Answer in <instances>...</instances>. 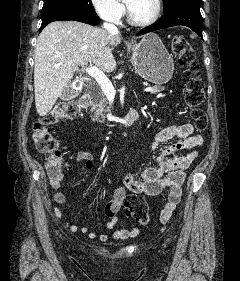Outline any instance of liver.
Returning <instances> with one entry per match:
<instances>
[{"instance_id": "1", "label": "liver", "mask_w": 240, "mask_h": 281, "mask_svg": "<svg viewBox=\"0 0 240 281\" xmlns=\"http://www.w3.org/2000/svg\"><path fill=\"white\" fill-rule=\"evenodd\" d=\"M119 35L77 21L47 25L37 39L34 58L35 105L45 116L67 88L79 66L93 63L104 71L116 68L114 47Z\"/></svg>"}]
</instances>
